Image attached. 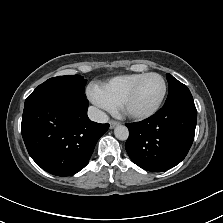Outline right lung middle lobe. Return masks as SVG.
<instances>
[{
  "instance_id": "1",
  "label": "right lung middle lobe",
  "mask_w": 223,
  "mask_h": 223,
  "mask_svg": "<svg viewBox=\"0 0 223 223\" xmlns=\"http://www.w3.org/2000/svg\"><path fill=\"white\" fill-rule=\"evenodd\" d=\"M86 80L80 75L53 77L40 84L25 100V105L63 96L77 95L86 98L84 94Z\"/></svg>"
}]
</instances>
